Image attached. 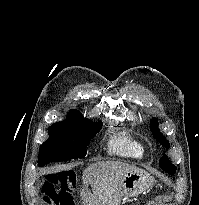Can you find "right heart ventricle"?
<instances>
[{
    "label": "right heart ventricle",
    "mask_w": 199,
    "mask_h": 205,
    "mask_svg": "<svg viewBox=\"0 0 199 205\" xmlns=\"http://www.w3.org/2000/svg\"><path fill=\"white\" fill-rule=\"evenodd\" d=\"M109 152L123 157L142 158L145 155L143 144L128 133L112 137L108 143Z\"/></svg>",
    "instance_id": "right-heart-ventricle-1"
}]
</instances>
